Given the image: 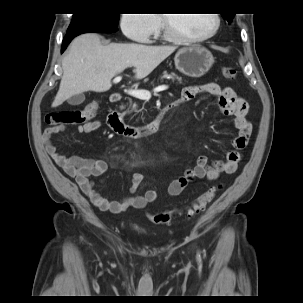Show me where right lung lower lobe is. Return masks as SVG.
<instances>
[{
    "mask_svg": "<svg viewBox=\"0 0 303 303\" xmlns=\"http://www.w3.org/2000/svg\"><path fill=\"white\" fill-rule=\"evenodd\" d=\"M118 30L117 26L103 25V26H89L85 27L79 31H75L72 33H67L62 42L61 53L67 48L68 44L71 40L83 33H113Z\"/></svg>",
    "mask_w": 303,
    "mask_h": 303,
    "instance_id": "right-lung-lower-lobe-1",
    "label": "right lung lower lobe"
}]
</instances>
